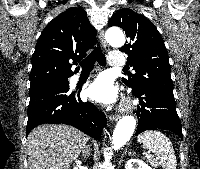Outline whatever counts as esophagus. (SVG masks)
I'll return each instance as SVG.
<instances>
[{
    "label": "esophagus",
    "instance_id": "esophagus-1",
    "mask_svg": "<svg viewBox=\"0 0 200 169\" xmlns=\"http://www.w3.org/2000/svg\"><path fill=\"white\" fill-rule=\"evenodd\" d=\"M99 41H100L103 49L107 52L109 50V46H108V44L105 41L104 32L103 31H101L99 33ZM109 119H110V121H117L119 119V116L118 115H111L109 117Z\"/></svg>",
    "mask_w": 200,
    "mask_h": 169
}]
</instances>
